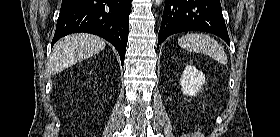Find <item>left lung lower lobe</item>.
<instances>
[{
	"label": "left lung lower lobe",
	"instance_id": "1",
	"mask_svg": "<svg viewBox=\"0 0 280 137\" xmlns=\"http://www.w3.org/2000/svg\"><path fill=\"white\" fill-rule=\"evenodd\" d=\"M184 31L209 32L230 43L220 0H166L158 45Z\"/></svg>",
	"mask_w": 280,
	"mask_h": 137
}]
</instances>
